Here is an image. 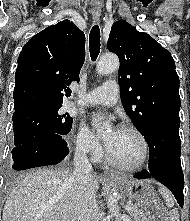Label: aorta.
I'll list each match as a JSON object with an SVG mask.
<instances>
[{
	"label": "aorta",
	"instance_id": "obj_1",
	"mask_svg": "<svg viewBox=\"0 0 190 221\" xmlns=\"http://www.w3.org/2000/svg\"><path fill=\"white\" fill-rule=\"evenodd\" d=\"M119 68V60L115 55H104L98 61L96 71L98 74H109L116 71ZM108 127L107 124L101 125L97 124V132H103L104 129ZM107 207L110 214L115 218V221H123L120 214L119 207L117 205V199L114 195L109 194L106 198Z\"/></svg>",
	"mask_w": 190,
	"mask_h": 221
}]
</instances>
